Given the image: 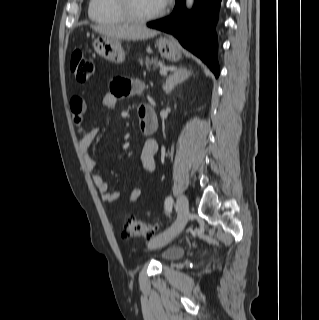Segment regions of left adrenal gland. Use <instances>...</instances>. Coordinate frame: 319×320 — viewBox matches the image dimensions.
Masks as SVG:
<instances>
[{
	"instance_id": "left-adrenal-gland-1",
	"label": "left adrenal gland",
	"mask_w": 319,
	"mask_h": 320,
	"mask_svg": "<svg viewBox=\"0 0 319 320\" xmlns=\"http://www.w3.org/2000/svg\"><path fill=\"white\" fill-rule=\"evenodd\" d=\"M191 71L187 70L184 67H180L171 73L167 78L163 86L166 94H170L175 86L182 83L188 77H190Z\"/></svg>"
}]
</instances>
